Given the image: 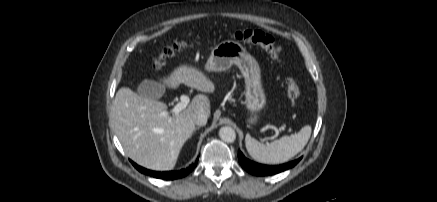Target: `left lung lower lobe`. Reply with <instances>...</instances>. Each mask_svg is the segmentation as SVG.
Returning a JSON list of instances; mask_svg holds the SVG:
<instances>
[{"mask_svg":"<svg viewBox=\"0 0 437 202\" xmlns=\"http://www.w3.org/2000/svg\"><path fill=\"white\" fill-rule=\"evenodd\" d=\"M238 160L240 165L249 173L256 175V176H268V175H273V174H277L280 173L282 171H285L289 168L294 167L300 160L301 158L294 160L292 162L289 163H285V164H281V165H274V166H269V165H262V164H258L255 163L249 159H247L241 151H239L238 153Z\"/></svg>","mask_w":437,"mask_h":202,"instance_id":"left-lung-lower-lobe-1","label":"left lung lower lobe"}]
</instances>
